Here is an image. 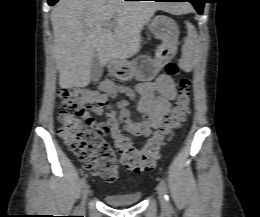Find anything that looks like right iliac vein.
<instances>
[{
    "label": "right iliac vein",
    "instance_id": "63e3f726",
    "mask_svg": "<svg viewBox=\"0 0 260 217\" xmlns=\"http://www.w3.org/2000/svg\"><path fill=\"white\" fill-rule=\"evenodd\" d=\"M90 192V187L88 184H85L83 187V192H82V203H81V210H83L84 206H85V202L87 199V196Z\"/></svg>",
    "mask_w": 260,
    "mask_h": 217
}]
</instances>
